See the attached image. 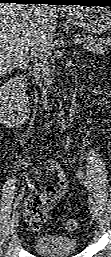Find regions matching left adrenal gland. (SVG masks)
Returning a JSON list of instances; mask_svg holds the SVG:
<instances>
[{"label":"left adrenal gland","mask_w":111,"mask_h":257,"mask_svg":"<svg viewBox=\"0 0 111 257\" xmlns=\"http://www.w3.org/2000/svg\"><path fill=\"white\" fill-rule=\"evenodd\" d=\"M76 53H77V50L74 49L73 54H76ZM78 55H79V53H78Z\"/></svg>","instance_id":"left-adrenal-gland-1"}]
</instances>
